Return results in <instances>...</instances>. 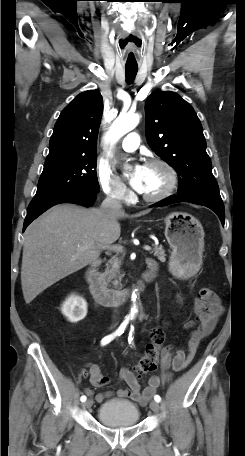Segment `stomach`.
<instances>
[{"instance_id": "1", "label": "stomach", "mask_w": 245, "mask_h": 456, "mask_svg": "<svg viewBox=\"0 0 245 456\" xmlns=\"http://www.w3.org/2000/svg\"><path fill=\"white\" fill-rule=\"evenodd\" d=\"M165 237L172 249L169 266L178 278L193 276L200 269L204 251V230L189 213L172 212L164 218Z\"/></svg>"}]
</instances>
